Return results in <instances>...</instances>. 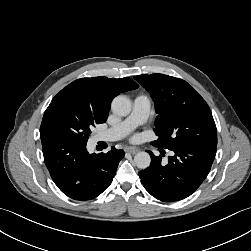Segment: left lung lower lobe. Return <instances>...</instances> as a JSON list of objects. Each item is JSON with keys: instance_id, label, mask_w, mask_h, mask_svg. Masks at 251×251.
Returning a JSON list of instances; mask_svg holds the SVG:
<instances>
[{"instance_id": "1", "label": "left lung lower lobe", "mask_w": 251, "mask_h": 251, "mask_svg": "<svg viewBox=\"0 0 251 251\" xmlns=\"http://www.w3.org/2000/svg\"><path fill=\"white\" fill-rule=\"evenodd\" d=\"M215 145H183L171 150L168 163L152 152L151 165L139 172L141 183L156 199L178 201L190 196L207 177L216 155Z\"/></svg>"}]
</instances>
